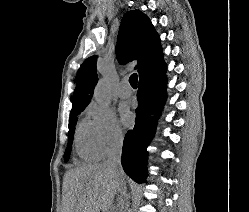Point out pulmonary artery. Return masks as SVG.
<instances>
[{
  "label": "pulmonary artery",
  "mask_w": 249,
  "mask_h": 212,
  "mask_svg": "<svg viewBox=\"0 0 249 212\" xmlns=\"http://www.w3.org/2000/svg\"><path fill=\"white\" fill-rule=\"evenodd\" d=\"M132 91L127 79H124L118 86L117 94L122 99L130 97Z\"/></svg>",
  "instance_id": "1"
}]
</instances>
